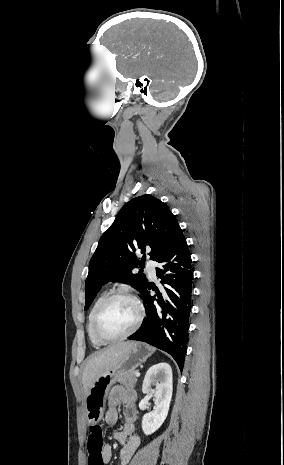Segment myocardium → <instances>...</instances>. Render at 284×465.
Returning <instances> with one entry per match:
<instances>
[{"instance_id": "f54148a6", "label": "myocardium", "mask_w": 284, "mask_h": 465, "mask_svg": "<svg viewBox=\"0 0 284 465\" xmlns=\"http://www.w3.org/2000/svg\"><path fill=\"white\" fill-rule=\"evenodd\" d=\"M117 300H128L135 306L136 311H137V321L135 322L132 329L122 337L114 338V339L102 338L98 334V331H97L98 321H99L101 315L103 314V312L106 310V308L111 303H113L114 301H117ZM144 316H145V311H144L143 304H142V302L140 301V299L137 296H135L134 294H131L129 292H126V291H119V292L113 293V294L109 295L99 305V307L95 311L93 319H92V325H91L92 335H93L94 339L99 344H103V345L115 344V343L125 341V340L131 338L138 331V329L140 328V326H141V324L143 322Z\"/></svg>"}]
</instances>
